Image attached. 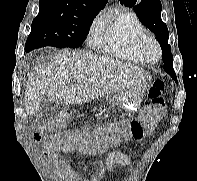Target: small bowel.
Listing matches in <instances>:
<instances>
[{
    "mask_svg": "<svg viewBox=\"0 0 197 181\" xmlns=\"http://www.w3.org/2000/svg\"><path fill=\"white\" fill-rule=\"evenodd\" d=\"M58 150L59 149H51L44 151L43 156L54 160L65 175L73 176L74 172L72 171L70 165L60 157V155L57 153ZM63 151L71 152L72 150L71 151L63 150ZM83 153L89 155L90 157H95L98 154L91 151H84ZM129 163H130L129 157L124 153L116 150L110 152L104 161L98 159H92L89 161L82 162L83 165H91L97 168V173L92 177L91 181H99L101 176L106 171H112L116 165H127Z\"/></svg>",
    "mask_w": 197,
    "mask_h": 181,
    "instance_id": "small-bowel-1",
    "label": "small bowel"
}]
</instances>
